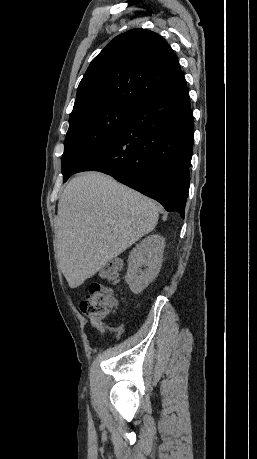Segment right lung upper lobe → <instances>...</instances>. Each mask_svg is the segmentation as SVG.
Instances as JSON below:
<instances>
[{"label": "right lung upper lobe", "mask_w": 257, "mask_h": 459, "mask_svg": "<svg viewBox=\"0 0 257 459\" xmlns=\"http://www.w3.org/2000/svg\"><path fill=\"white\" fill-rule=\"evenodd\" d=\"M183 76L175 53L160 35L129 30L115 37L90 63L69 121L109 106L136 108Z\"/></svg>", "instance_id": "right-lung-upper-lobe-1"}]
</instances>
